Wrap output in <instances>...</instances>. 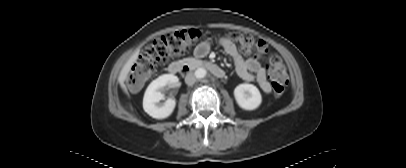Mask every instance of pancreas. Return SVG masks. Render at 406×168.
Listing matches in <instances>:
<instances>
[{
	"mask_svg": "<svg viewBox=\"0 0 406 168\" xmlns=\"http://www.w3.org/2000/svg\"><path fill=\"white\" fill-rule=\"evenodd\" d=\"M190 65H195L198 61L195 58H187L185 59Z\"/></svg>",
	"mask_w": 406,
	"mask_h": 168,
	"instance_id": "obj_1",
	"label": "pancreas"
}]
</instances>
